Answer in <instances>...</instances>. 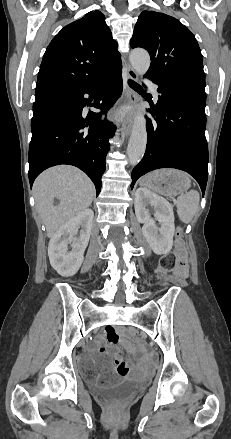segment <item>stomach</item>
Masks as SVG:
<instances>
[{
	"label": "stomach",
	"mask_w": 231,
	"mask_h": 439,
	"mask_svg": "<svg viewBox=\"0 0 231 439\" xmlns=\"http://www.w3.org/2000/svg\"><path fill=\"white\" fill-rule=\"evenodd\" d=\"M141 183L164 196H176L189 189L190 178L179 170L160 169L146 175Z\"/></svg>",
	"instance_id": "obj_1"
}]
</instances>
